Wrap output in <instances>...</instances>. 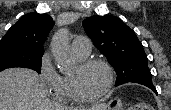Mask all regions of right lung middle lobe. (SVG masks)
<instances>
[{
    "instance_id": "dd1d6c3e",
    "label": "right lung middle lobe",
    "mask_w": 171,
    "mask_h": 110,
    "mask_svg": "<svg viewBox=\"0 0 171 110\" xmlns=\"http://www.w3.org/2000/svg\"><path fill=\"white\" fill-rule=\"evenodd\" d=\"M43 53L32 52L16 45H0V71L11 67L31 68L41 72Z\"/></svg>"
}]
</instances>
